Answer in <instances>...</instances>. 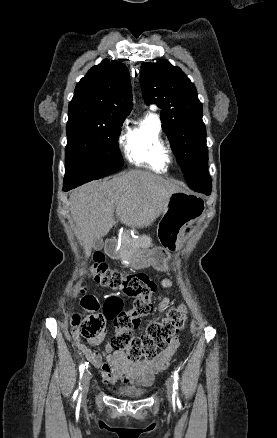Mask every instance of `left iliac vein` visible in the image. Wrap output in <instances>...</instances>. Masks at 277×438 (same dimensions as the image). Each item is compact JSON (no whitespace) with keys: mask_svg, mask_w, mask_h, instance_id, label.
I'll return each mask as SVG.
<instances>
[{"mask_svg":"<svg viewBox=\"0 0 277 438\" xmlns=\"http://www.w3.org/2000/svg\"><path fill=\"white\" fill-rule=\"evenodd\" d=\"M166 389H167V398L169 402H172L174 400V393H173V379L172 377H168L166 380Z\"/></svg>","mask_w":277,"mask_h":438,"instance_id":"4c4485c4","label":"left iliac vein"}]
</instances>
